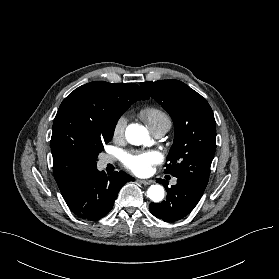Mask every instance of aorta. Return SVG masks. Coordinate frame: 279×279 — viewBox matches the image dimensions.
<instances>
[{
  "mask_svg": "<svg viewBox=\"0 0 279 279\" xmlns=\"http://www.w3.org/2000/svg\"><path fill=\"white\" fill-rule=\"evenodd\" d=\"M126 139L133 145H141L148 141L149 134L144 126L139 124H131L125 132ZM148 197L153 202H160L164 198V188L161 185H151L147 190Z\"/></svg>",
  "mask_w": 279,
  "mask_h": 279,
  "instance_id": "aorta-1",
  "label": "aorta"
}]
</instances>
